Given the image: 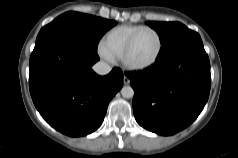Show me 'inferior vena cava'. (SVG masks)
I'll use <instances>...</instances> for the list:
<instances>
[{
  "label": "inferior vena cava",
  "instance_id": "1",
  "mask_svg": "<svg viewBox=\"0 0 238 158\" xmlns=\"http://www.w3.org/2000/svg\"><path fill=\"white\" fill-rule=\"evenodd\" d=\"M93 70L99 75H106L111 71V67L104 61H99L93 66Z\"/></svg>",
  "mask_w": 238,
  "mask_h": 158
}]
</instances>
